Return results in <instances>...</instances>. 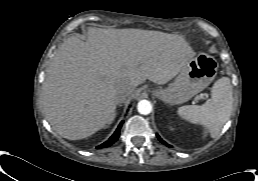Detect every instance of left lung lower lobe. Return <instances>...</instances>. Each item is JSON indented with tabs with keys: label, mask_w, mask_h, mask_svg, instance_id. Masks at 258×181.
<instances>
[{
	"label": "left lung lower lobe",
	"mask_w": 258,
	"mask_h": 181,
	"mask_svg": "<svg viewBox=\"0 0 258 181\" xmlns=\"http://www.w3.org/2000/svg\"><path fill=\"white\" fill-rule=\"evenodd\" d=\"M157 137H158V139H159L164 145H166V146H168V147H171L169 144H167L166 142H164L158 135H157Z\"/></svg>",
	"instance_id": "1"
}]
</instances>
